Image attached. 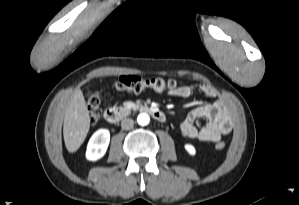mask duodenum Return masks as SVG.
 <instances>
[{
	"label": "duodenum",
	"mask_w": 299,
	"mask_h": 205,
	"mask_svg": "<svg viewBox=\"0 0 299 205\" xmlns=\"http://www.w3.org/2000/svg\"><path fill=\"white\" fill-rule=\"evenodd\" d=\"M137 111L150 114L154 119L160 122L166 120L165 114L158 108L150 105H140L136 108ZM131 112L127 107H110L104 112V118L110 123H118Z\"/></svg>",
	"instance_id": "1"
}]
</instances>
